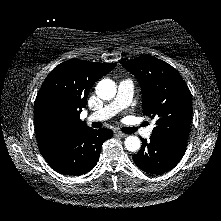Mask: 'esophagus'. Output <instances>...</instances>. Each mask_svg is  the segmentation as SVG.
<instances>
[{
  "mask_svg": "<svg viewBox=\"0 0 221 221\" xmlns=\"http://www.w3.org/2000/svg\"><path fill=\"white\" fill-rule=\"evenodd\" d=\"M114 134H115L116 136H118V137H126V136H127V134L122 133V132H120V131H115Z\"/></svg>",
  "mask_w": 221,
  "mask_h": 221,
  "instance_id": "1",
  "label": "esophagus"
}]
</instances>
